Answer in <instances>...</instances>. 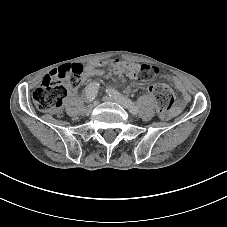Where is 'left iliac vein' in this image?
Here are the masks:
<instances>
[{
	"mask_svg": "<svg viewBox=\"0 0 227 227\" xmlns=\"http://www.w3.org/2000/svg\"><path fill=\"white\" fill-rule=\"evenodd\" d=\"M102 101H103V102H117V103H119L121 106L125 107L124 104H123L122 102H120V101H118V100H116V99H114V98H112V97H109V96H104V97L102 98Z\"/></svg>",
	"mask_w": 227,
	"mask_h": 227,
	"instance_id": "4c4485c4",
	"label": "left iliac vein"
}]
</instances>
